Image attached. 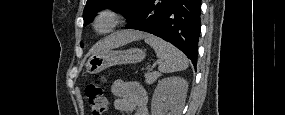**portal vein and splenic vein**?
Here are the masks:
<instances>
[{
	"mask_svg": "<svg viewBox=\"0 0 285 115\" xmlns=\"http://www.w3.org/2000/svg\"><path fill=\"white\" fill-rule=\"evenodd\" d=\"M162 61L157 60L155 63H153V65L151 66V69H153L156 65L161 64Z\"/></svg>",
	"mask_w": 285,
	"mask_h": 115,
	"instance_id": "1",
	"label": "portal vein and splenic vein"
}]
</instances>
